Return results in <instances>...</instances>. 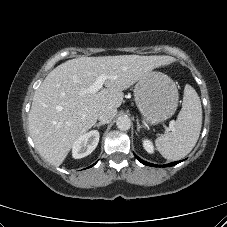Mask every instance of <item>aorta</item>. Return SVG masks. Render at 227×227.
Instances as JSON below:
<instances>
[{"mask_svg": "<svg viewBox=\"0 0 227 227\" xmlns=\"http://www.w3.org/2000/svg\"><path fill=\"white\" fill-rule=\"evenodd\" d=\"M116 126L122 131L129 130L131 127V120L127 116H120L116 121Z\"/></svg>", "mask_w": 227, "mask_h": 227, "instance_id": "obj_1", "label": "aorta"}]
</instances>
